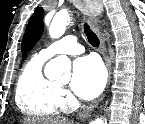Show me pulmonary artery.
Masks as SVG:
<instances>
[{"label": "pulmonary artery", "mask_w": 145, "mask_h": 124, "mask_svg": "<svg viewBox=\"0 0 145 124\" xmlns=\"http://www.w3.org/2000/svg\"><path fill=\"white\" fill-rule=\"evenodd\" d=\"M84 52L82 45L75 39L74 36H66L57 42L42 49L39 54L45 58H51L57 54L78 55Z\"/></svg>", "instance_id": "obj_1"}]
</instances>
